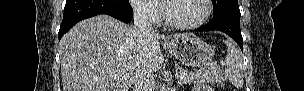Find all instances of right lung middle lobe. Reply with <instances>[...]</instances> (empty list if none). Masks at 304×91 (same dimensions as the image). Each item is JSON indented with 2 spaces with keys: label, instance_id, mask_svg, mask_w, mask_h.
I'll return each mask as SVG.
<instances>
[{
  "label": "right lung middle lobe",
  "instance_id": "obj_1",
  "mask_svg": "<svg viewBox=\"0 0 304 91\" xmlns=\"http://www.w3.org/2000/svg\"><path fill=\"white\" fill-rule=\"evenodd\" d=\"M114 2L117 5H125V6L130 5L129 0H115Z\"/></svg>",
  "mask_w": 304,
  "mask_h": 91
}]
</instances>
